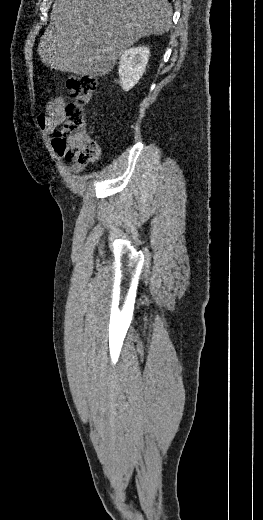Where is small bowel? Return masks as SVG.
Listing matches in <instances>:
<instances>
[{
  "mask_svg": "<svg viewBox=\"0 0 263 520\" xmlns=\"http://www.w3.org/2000/svg\"><path fill=\"white\" fill-rule=\"evenodd\" d=\"M65 107L66 100L63 97H55L47 103L45 112L38 115V125L46 134H51L55 127L64 121ZM66 167L74 173H79L84 170L85 164L74 162Z\"/></svg>",
  "mask_w": 263,
  "mask_h": 520,
  "instance_id": "small-bowel-1",
  "label": "small bowel"
}]
</instances>
